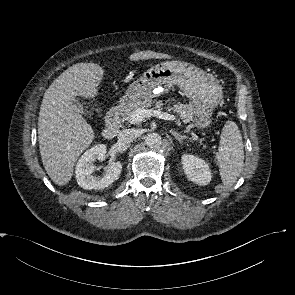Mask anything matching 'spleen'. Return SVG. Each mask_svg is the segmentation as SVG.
Wrapping results in <instances>:
<instances>
[{
  "instance_id": "obj_1",
  "label": "spleen",
  "mask_w": 295,
  "mask_h": 295,
  "mask_svg": "<svg viewBox=\"0 0 295 295\" xmlns=\"http://www.w3.org/2000/svg\"><path fill=\"white\" fill-rule=\"evenodd\" d=\"M220 145L216 154L220 176L224 188L231 187L243 169V141L238 126L233 121H227L222 129Z\"/></svg>"
}]
</instances>
